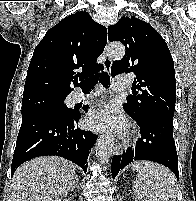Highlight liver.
<instances>
[{
  "label": "liver",
  "mask_w": 196,
  "mask_h": 201,
  "mask_svg": "<svg viewBox=\"0 0 196 201\" xmlns=\"http://www.w3.org/2000/svg\"><path fill=\"white\" fill-rule=\"evenodd\" d=\"M76 166L57 156L23 163L12 179L13 201H61L75 181Z\"/></svg>",
  "instance_id": "liver-1"
}]
</instances>
